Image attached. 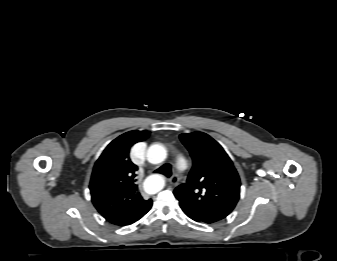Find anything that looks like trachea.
<instances>
[{
	"label": "trachea",
	"mask_w": 337,
	"mask_h": 261,
	"mask_svg": "<svg viewBox=\"0 0 337 261\" xmlns=\"http://www.w3.org/2000/svg\"><path fill=\"white\" fill-rule=\"evenodd\" d=\"M156 173H161L166 175L167 177H170L172 172H171V167L169 164H165L163 166H161L160 168H158L156 171Z\"/></svg>",
	"instance_id": "trachea-1"
}]
</instances>
